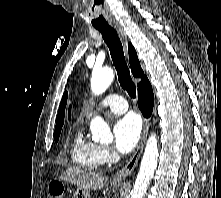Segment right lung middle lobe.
Instances as JSON below:
<instances>
[{
    "label": "right lung middle lobe",
    "mask_w": 221,
    "mask_h": 198,
    "mask_svg": "<svg viewBox=\"0 0 221 198\" xmlns=\"http://www.w3.org/2000/svg\"><path fill=\"white\" fill-rule=\"evenodd\" d=\"M60 132L61 131H57V132H55V141L57 142L58 141V139H59V136H60Z\"/></svg>",
    "instance_id": "dd1d6c3e"
}]
</instances>
